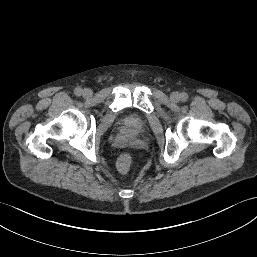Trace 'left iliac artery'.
Wrapping results in <instances>:
<instances>
[{
  "label": "left iliac artery",
  "instance_id": "1",
  "mask_svg": "<svg viewBox=\"0 0 257 257\" xmlns=\"http://www.w3.org/2000/svg\"><path fill=\"white\" fill-rule=\"evenodd\" d=\"M180 99H181V101H187L188 95H187L186 93H182V94L180 95Z\"/></svg>",
  "mask_w": 257,
  "mask_h": 257
}]
</instances>
